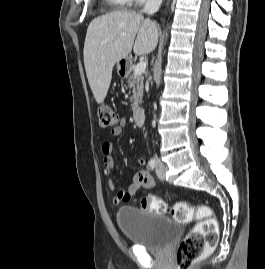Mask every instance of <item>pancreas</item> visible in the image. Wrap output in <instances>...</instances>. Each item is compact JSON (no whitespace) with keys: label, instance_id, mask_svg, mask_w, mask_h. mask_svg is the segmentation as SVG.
<instances>
[{"label":"pancreas","instance_id":"1","mask_svg":"<svg viewBox=\"0 0 265 269\" xmlns=\"http://www.w3.org/2000/svg\"><path fill=\"white\" fill-rule=\"evenodd\" d=\"M132 69H130L127 80V87L132 89V97L130 101L132 102V111H136L139 108V104L142 102L143 96V81L144 77L142 75L131 74Z\"/></svg>","mask_w":265,"mask_h":269}]
</instances>
